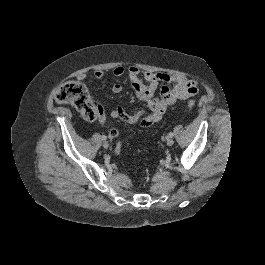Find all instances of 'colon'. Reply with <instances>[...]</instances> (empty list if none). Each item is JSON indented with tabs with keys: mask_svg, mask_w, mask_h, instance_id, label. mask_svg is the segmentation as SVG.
I'll use <instances>...</instances> for the list:
<instances>
[{
	"mask_svg": "<svg viewBox=\"0 0 265 265\" xmlns=\"http://www.w3.org/2000/svg\"><path fill=\"white\" fill-rule=\"evenodd\" d=\"M55 99L62 104H68L75 107L82 117L88 121H94L101 115V108L95 104L86 89V87L78 81H68L57 88L55 92ZM187 106L193 108L195 102L193 100L188 101ZM147 123H142L145 126ZM122 144L117 142L116 152L121 151Z\"/></svg>",
	"mask_w": 265,
	"mask_h": 265,
	"instance_id": "5ec220e1",
	"label": "colon"
}]
</instances>
